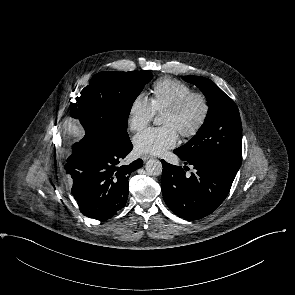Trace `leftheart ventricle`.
I'll return each mask as SVG.
<instances>
[{
  "label": "left heart ventricle",
  "mask_w": 295,
  "mask_h": 295,
  "mask_svg": "<svg viewBox=\"0 0 295 295\" xmlns=\"http://www.w3.org/2000/svg\"><path fill=\"white\" fill-rule=\"evenodd\" d=\"M201 112V106L198 102L191 105L189 110L182 116H176L164 113L161 117V124L174 128L177 132L191 127L198 119Z\"/></svg>",
  "instance_id": "left-heart-ventricle-1"
}]
</instances>
